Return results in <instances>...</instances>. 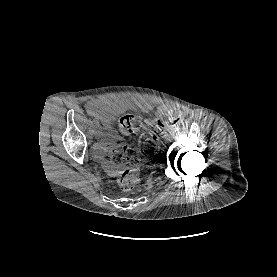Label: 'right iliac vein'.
<instances>
[{"instance_id":"obj_1","label":"right iliac vein","mask_w":277,"mask_h":277,"mask_svg":"<svg viewBox=\"0 0 277 277\" xmlns=\"http://www.w3.org/2000/svg\"><path fill=\"white\" fill-rule=\"evenodd\" d=\"M95 137L98 138L99 137V133H95Z\"/></svg>"}]
</instances>
